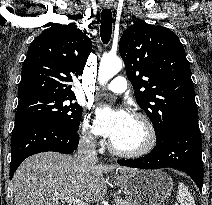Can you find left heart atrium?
I'll return each instance as SVG.
<instances>
[{"label": "left heart atrium", "mask_w": 212, "mask_h": 205, "mask_svg": "<svg viewBox=\"0 0 212 205\" xmlns=\"http://www.w3.org/2000/svg\"><path fill=\"white\" fill-rule=\"evenodd\" d=\"M131 118L125 110L100 108L97 116L98 132L112 140L126 127Z\"/></svg>", "instance_id": "left-heart-atrium-1"}]
</instances>
